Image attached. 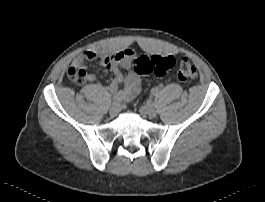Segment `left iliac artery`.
Returning <instances> with one entry per match:
<instances>
[{"mask_svg":"<svg viewBox=\"0 0 265 202\" xmlns=\"http://www.w3.org/2000/svg\"><path fill=\"white\" fill-rule=\"evenodd\" d=\"M151 93H152L153 95H156V94H157V90H156V89H152V90H151Z\"/></svg>","mask_w":265,"mask_h":202,"instance_id":"44dca946","label":"left iliac artery"}]
</instances>
